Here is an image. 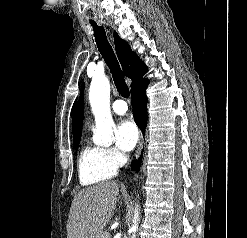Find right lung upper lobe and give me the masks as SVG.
Instances as JSON below:
<instances>
[{
    "label": "right lung upper lobe",
    "instance_id": "1",
    "mask_svg": "<svg viewBox=\"0 0 247 238\" xmlns=\"http://www.w3.org/2000/svg\"><path fill=\"white\" fill-rule=\"evenodd\" d=\"M114 42L117 57L121 63L124 73L127 77L131 78V91L137 86L145 82L147 79L143 78V75L147 72L146 65L139 59V57L131 50L128 43L118 36L114 32ZM84 84L82 85V92ZM83 99L80 100L77 110L72 119V131H73V142L80 141L82 135V124H83Z\"/></svg>",
    "mask_w": 247,
    "mask_h": 238
}]
</instances>
